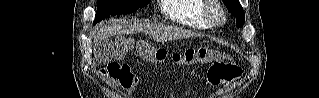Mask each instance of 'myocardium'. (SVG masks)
Returning a JSON list of instances; mask_svg holds the SVG:
<instances>
[{"label":"myocardium","instance_id":"1","mask_svg":"<svg viewBox=\"0 0 319 98\" xmlns=\"http://www.w3.org/2000/svg\"><path fill=\"white\" fill-rule=\"evenodd\" d=\"M204 17L210 25H221L225 20V12L222 5L216 0L207 1L203 9Z\"/></svg>","mask_w":319,"mask_h":98}]
</instances>
